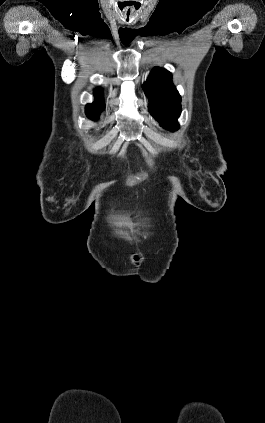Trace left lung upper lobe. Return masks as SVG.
Returning a JSON list of instances; mask_svg holds the SVG:
<instances>
[{
	"mask_svg": "<svg viewBox=\"0 0 265 423\" xmlns=\"http://www.w3.org/2000/svg\"><path fill=\"white\" fill-rule=\"evenodd\" d=\"M149 100V112L163 128L176 131L181 114V96L172 83V75L165 69L155 67L143 84Z\"/></svg>",
	"mask_w": 265,
	"mask_h": 423,
	"instance_id": "obj_1",
	"label": "left lung upper lobe"
}]
</instances>
